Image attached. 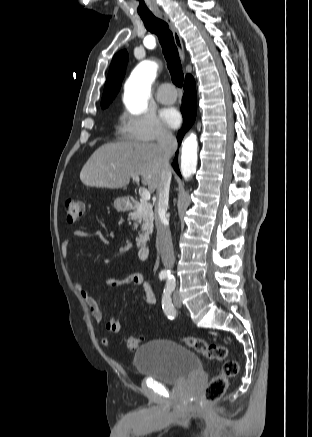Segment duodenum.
Wrapping results in <instances>:
<instances>
[{
    "instance_id": "1",
    "label": "duodenum",
    "mask_w": 312,
    "mask_h": 437,
    "mask_svg": "<svg viewBox=\"0 0 312 437\" xmlns=\"http://www.w3.org/2000/svg\"><path fill=\"white\" fill-rule=\"evenodd\" d=\"M137 201L133 197H125V204L128 208H132L136 205ZM151 253V247L147 244H140L138 246V259L146 261L149 259Z\"/></svg>"
}]
</instances>
